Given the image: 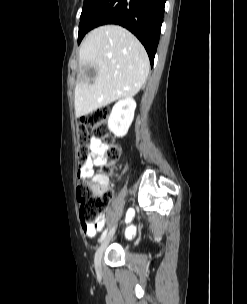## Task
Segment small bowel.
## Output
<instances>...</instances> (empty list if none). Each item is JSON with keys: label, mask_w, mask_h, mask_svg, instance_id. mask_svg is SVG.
Segmentation results:
<instances>
[{"label": "small bowel", "mask_w": 247, "mask_h": 304, "mask_svg": "<svg viewBox=\"0 0 247 304\" xmlns=\"http://www.w3.org/2000/svg\"><path fill=\"white\" fill-rule=\"evenodd\" d=\"M108 147L98 138H92L90 141V155L89 158L83 163L78 171L79 179H89L94 177L96 179L98 177L94 176V168L102 167L107 163V153ZM107 182V178H105ZM105 224V218L101 216L98 220L91 225L82 224V229L84 233L93 238L97 232L101 231ZM133 233L132 229H128L126 232L127 236H130Z\"/></svg>", "instance_id": "c3829d8e"}]
</instances>
